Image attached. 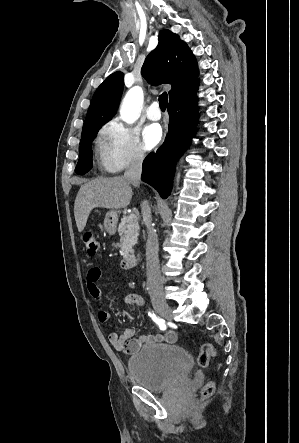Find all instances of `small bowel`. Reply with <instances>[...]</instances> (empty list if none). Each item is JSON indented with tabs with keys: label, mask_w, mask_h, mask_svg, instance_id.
Instances as JSON below:
<instances>
[{
	"label": "small bowel",
	"mask_w": 299,
	"mask_h": 443,
	"mask_svg": "<svg viewBox=\"0 0 299 443\" xmlns=\"http://www.w3.org/2000/svg\"><path fill=\"white\" fill-rule=\"evenodd\" d=\"M101 278V271L99 268H91L87 274V289L89 294L97 301H101V291L98 286V281ZM126 304H134L140 307L145 306L146 301L138 293H130L125 297ZM97 318L100 322H106L110 319V314L106 310H99ZM109 342L117 351H122L126 355H131L137 352L142 346L155 343H174L177 335L174 331H168L164 334H139L135 336V331L132 328H126L121 334L111 332L108 335Z\"/></svg>",
	"instance_id": "1"
}]
</instances>
